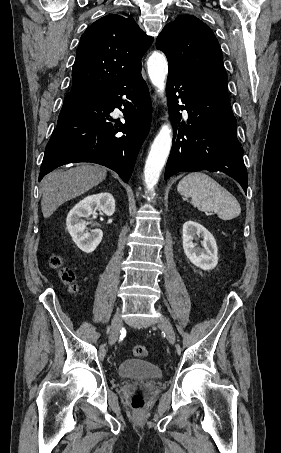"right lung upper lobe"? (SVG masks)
Here are the masks:
<instances>
[{
    "mask_svg": "<svg viewBox=\"0 0 281 453\" xmlns=\"http://www.w3.org/2000/svg\"><path fill=\"white\" fill-rule=\"evenodd\" d=\"M153 42L131 16L106 15L83 33L72 69V90L111 86L141 67Z\"/></svg>",
    "mask_w": 281,
    "mask_h": 453,
    "instance_id": "right-lung-upper-lobe-1",
    "label": "right lung upper lobe"
}]
</instances>
